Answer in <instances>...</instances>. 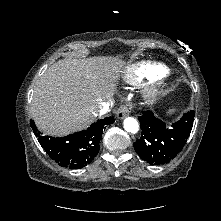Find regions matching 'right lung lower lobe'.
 <instances>
[{
	"label": "right lung lower lobe",
	"mask_w": 221,
	"mask_h": 221,
	"mask_svg": "<svg viewBox=\"0 0 221 221\" xmlns=\"http://www.w3.org/2000/svg\"><path fill=\"white\" fill-rule=\"evenodd\" d=\"M113 122V117H106L86 130L64 138L43 136L32 120L30 125L42 148L55 162L65 168L79 169L87 166L98 154L103 130Z\"/></svg>",
	"instance_id": "1"
}]
</instances>
